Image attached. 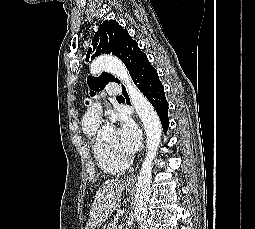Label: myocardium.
I'll use <instances>...</instances> for the list:
<instances>
[{
	"mask_svg": "<svg viewBox=\"0 0 255 229\" xmlns=\"http://www.w3.org/2000/svg\"><path fill=\"white\" fill-rule=\"evenodd\" d=\"M106 147H107L113 154H115L119 159H121L122 161H124V162H126V163H128V162L130 161V158L127 157L126 155H124V154L122 153L121 150L112 149V148H110V147L107 146V145H106Z\"/></svg>",
	"mask_w": 255,
	"mask_h": 229,
	"instance_id": "f54148a6",
	"label": "myocardium"
}]
</instances>
